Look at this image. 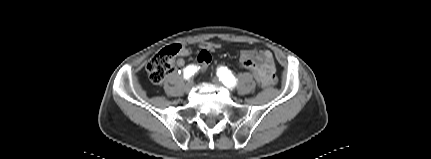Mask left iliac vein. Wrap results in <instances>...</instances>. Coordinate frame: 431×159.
Returning <instances> with one entry per match:
<instances>
[{
	"label": "left iliac vein",
	"mask_w": 431,
	"mask_h": 159,
	"mask_svg": "<svg viewBox=\"0 0 431 159\" xmlns=\"http://www.w3.org/2000/svg\"><path fill=\"white\" fill-rule=\"evenodd\" d=\"M212 83H213L214 85H217V86H221V85H222V82H221L217 77H214V78L212 79Z\"/></svg>",
	"instance_id": "left-iliac-vein-1"
}]
</instances>
